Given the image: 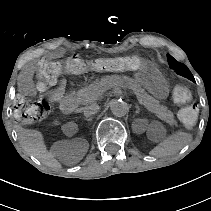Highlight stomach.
Here are the masks:
<instances>
[{"instance_id":"obj_1","label":"stomach","mask_w":211,"mask_h":211,"mask_svg":"<svg viewBox=\"0 0 211 211\" xmlns=\"http://www.w3.org/2000/svg\"><path fill=\"white\" fill-rule=\"evenodd\" d=\"M136 81L143 85L155 97L165 99L169 93V87L162 75L139 71L135 75Z\"/></svg>"}]
</instances>
